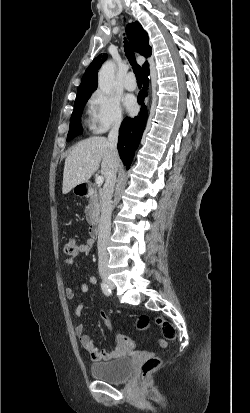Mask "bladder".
Here are the masks:
<instances>
[{
    "label": "bladder",
    "instance_id": "31cf9c89",
    "mask_svg": "<svg viewBox=\"0 0 250 413\" xmlns=\"http://www.w3.org/2000/svg\"><path fill=\"white\" fill-rule=\"evenodd\" d=\"M133 367V358L128 355H123L110 361L93 363L90 366V371L92 376L97 380L118 383L128 378Z\"/></svg>",
    "mask_w": 250,
    "mask_h": 413
}]
</instances>
